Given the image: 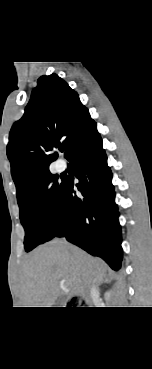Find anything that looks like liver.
<instances>
[{
	"label": "liver",
	"mask_w": 152,
	"mask_h": 369,
	"mask_svg": "<svg viewBox=\"0 0 152 369\" xmlns=\"http://www.w3.org/2000/svg\"><path fill=\"white\" fill-rule=\"evenodd\" d=\"M106 265L64 240L39 246L30 254L21 274L23 307H52L62 294L60 280L68 289L67 298L85 294L92 284L102 282Z\"/></svg>",
	"instance_id": "6515ba94"
}]
</instances>
